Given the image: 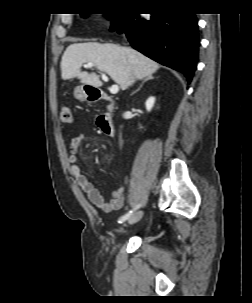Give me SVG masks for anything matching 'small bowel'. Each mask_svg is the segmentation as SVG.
Segmentation results:
<instances>
[{"mask_svg": "<svg viewBox=\"0 0 252 303\" xmlns=\"http://www.w3.org/2000/svg\"><path fill=\"white\" fill-rule=\"evenodd\" d=\"M86 139L84 134H78L72 138L69 146V169L76 183L87 195L92 205L98 207L106 213H111L121 208L124 201V188L119 185L112 192L110 201H105L101 192L82 174L77 163V153L79 146Z\"/></svg>", "mask_w": 252, "mask_h": 303, "instance_id": "small-bowel-1", "label": "small bowel"}]
</instances>
